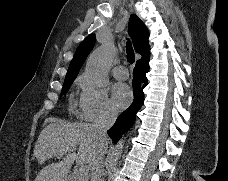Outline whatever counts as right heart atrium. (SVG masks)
<instances>
[{"instance_id": "d8ad5b80", "label": "right heart atrium", "mask_w": 228, "mask_h": 181, "mask_svg": "<svg viewBox=\"0 0 228 181\" xmlns=\"http://www.w3.org/2000/svg\"><path fill=\"white\" fill-rule=\"evenodd\" d=\"M113 110L106 90L90 77L80 98L79 117L85 121H95L110 116Z\"/></svg>"}]
</instances>
